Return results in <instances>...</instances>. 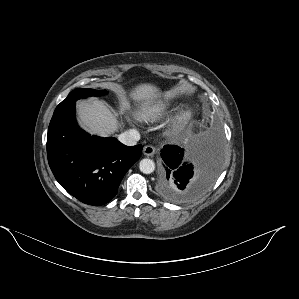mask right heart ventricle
Instances as JSON below:
<instances>
[{
    "mask_svg": "<svg viewBox=\"0 0 299 299\" xmlns=\"http://www.w3.org/2000/svg\"><path fill=\"white\" fill-rule=\"evenodd\" d=\"M170 108L171 103L167 99H159L142 106L137 111V115L140 119L146 121L158 120L165 116Z\"/></svg>",
    "mask_w": 299,
    "mask_h": 299,
    "instance_id": "obj_1",
    "label": "right heart ventricle"
}]
</instances>
